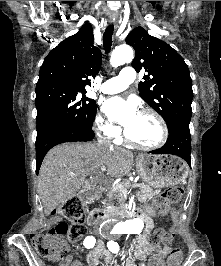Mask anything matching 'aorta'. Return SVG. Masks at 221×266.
I'll return each instance as SVG.
<instances>
[{
	"mask_svg": "<svg viewBox=\"0 0 221 266\" xmlns=\"http://www.w3.org/2000/svg\"><path fill=\"white\" fill-rule=\"evenodd\" d=\"M133 49L129 45H120L114 49L111 55V65L118 67L125 63L131 62L133 59ZM143 229V222L139 218H133L123 221L115 226H109L108 230L124 233V234H138Z\"/></svg>",
	"mask_w": 221,
	"mask_h": 266,
	"instance_id": "762f6f07",
	"label": "aorta"
}]
</instances>
